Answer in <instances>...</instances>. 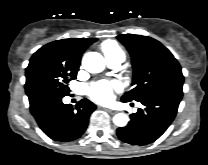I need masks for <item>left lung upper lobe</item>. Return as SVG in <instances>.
<instances>
[{"instance_id":"5c2ea615","label":"left lung upper lobe","mask_w":208,"mask_h":165,"mask_svg":"<svg viewBox=\"0 0 208 165\" xmlns=\"http://www.w3.org/2000/svg\"><path fill=\"white\" fill-rule=\"evenodd\" d=\"M118 40L131 54L135 87L122 96L123 102L141 101L160 91L183 92L184 76L171 52L146 36L122 34Z\"/></svg>"}]
</instances>
